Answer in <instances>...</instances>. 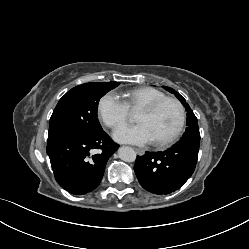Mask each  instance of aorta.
<instances>
[{"mask_svg": "<svg viewBox=\"0 0 249 249\" xmlns=\"http://www.w3.org/2000/svg\"><path fill=\"white\" fill-rule=\"evenodd\" d=\"M118 156L125 162H134L136 160V152L128 146L120 147L118 150Z\"/></svg>", "mask_w": 249, "mask_h": 249, "instance_id": "obj_1", "label": "aorta"}]
</instances>
